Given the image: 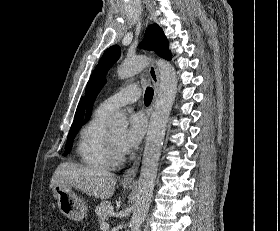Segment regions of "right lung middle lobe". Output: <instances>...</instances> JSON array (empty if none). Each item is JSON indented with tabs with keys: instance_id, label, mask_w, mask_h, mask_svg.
<instances>
[{
	"instance_id": "1",
	"label": "right lung middle lobe",
	"mask_w": 280,
	"mask_h": 231,
	"mask_svg": "<svg viewBox=\"0 0 280 231\" xmlns=\"http://www.w3.org/2000/svg\"><path fill=\"white\" fill-rule=\"evenodd\" d=\"M80 128L81 127L70 129L69 134H68V139H67V144H66L64 156H66L71 151L72 141H73L75 135L77 134V132L79 131Z\"/></svg>"
}]
</instances>
